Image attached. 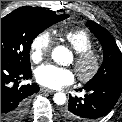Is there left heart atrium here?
<instances>
[{
	"label": "left heart atrium",
	"mask_w": 122,
	"mask_h": 122,
	"mask_svg": "<svg viewBox=\"0 0 122 122\" xmlns=\"http://www.w3.org/2000/svg\"><path fill=\"white\" fill-rule=\"evenodd\" d=\"M35 77L39 84L51 89H59L70 85L75 80L72 70L58 67L53 64H43L35 71Z\"/></svg>",
	"instance_id": "39dd6f15"
}]
</instances>
